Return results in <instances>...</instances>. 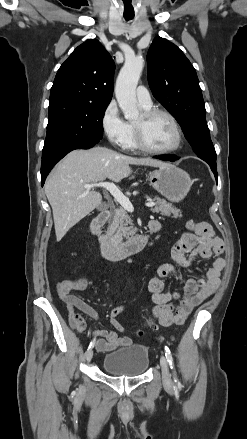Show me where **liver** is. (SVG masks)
Here are the masks:
<instances>
[{
	"mask_svg": "<svg viewBox=\"0 0 247 439\" xmlns=\"http://www.w3.org/2000/svg\"><path fill=\"white\" fill-rule=\"evenodd\" d=\"M130 165L164 167L169 164L152 158L126 156L105 147L74 150L58 164L44 186L58 242L102 202L99 192L87 190L84 185L105 179L120 182L132 174Z\"/></svg>",
	"mask_w": 247,
	"mask_h": 439,
	"instance_id": "1",
	"label": "liver"
}]
</instances>
